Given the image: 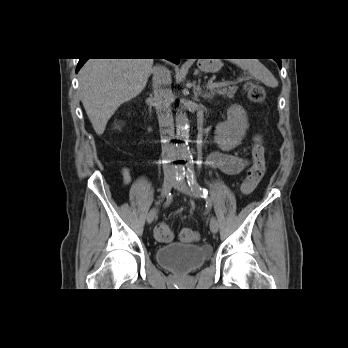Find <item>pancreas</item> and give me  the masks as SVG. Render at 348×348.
Segmentation results:
<instances>
[{
  "label": "pancreas",
  "instance_id": "cf45deb5",
  "mask_svg": "<svg viewBox=\"0 0 348 348\" xmlns=\"http://www.w3.org/2000/svg\"><path fill=\"white\" fill-rule=\"evenodd\" d=\"M231 84H234V83H231ZM237 89H238L237 86L235 85L230 86V83H229V85L223 86V87H211L210 94L212 96L222 95L223 97L232 98L234 97V94L236 93Z\"/></svg>",
  "mask_w": 348,
  "mask_h": 348
}]
</instances>
